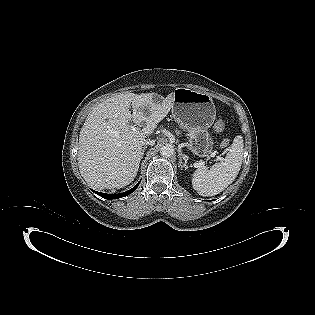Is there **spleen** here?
I'll use <instances>...</instances> for the list:
<instances>
[{"mask_svg": "<svg viewBox=\"0 0 315 315\" xmlns=\"http://www.w3.org/2000/svg\"><path fill=\"white\" fill-rule=\"evenodd\" d=\"M244 143L242 136L234 138L230 151L224 160L210 169L199 166L192 177V186L201 196H214L227 188L237 177L243 160Z\"/></svg>", "mask_w": 315, "mask_h": 315, "instance_id": "spleen-1", "label": "spleen"}]
</instances>
